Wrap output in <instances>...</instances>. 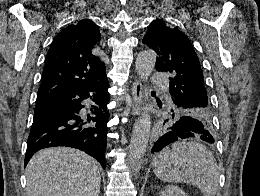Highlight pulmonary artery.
Returning <instances> with one entry per match:
<instances>
[{
    "label": "pulmonary artery",
    "mask_w": 260,
    "mask_h": 196,
    "mask_svg": "<svg viewBox=\"0 0 260 196\" xmlns=\"http://www.w3.org/2000/svg\"><path fill=\"white\" fill-rule=\"evenodd\" d=\"M150 84H167V79L161 76V72H152Z\"/></svg>",
    "instance_id": "1"
}]
</instances>
